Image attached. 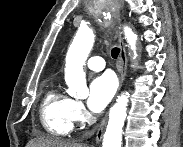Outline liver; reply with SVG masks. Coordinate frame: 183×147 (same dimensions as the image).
I'll use <instances>...</instances> for the list:
<instances>
[{
    "label": "liver",
    "mask_w": 183,
    "mask_h": 147,
    "mask_svg": "<svg viewBox=\"0 0 183 147\" xmlns=\"http://www.w3.org/2000/svg\"><path fill=\"white\" fill-rule=\"evenodd\" d=\"M26 147H85V145L55 137H38L28 142Z\"/></svg>",
    "instance_id": "liver-1"
}]
</instances>
